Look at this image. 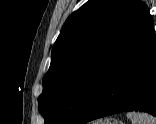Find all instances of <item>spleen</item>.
Returning a JSON list of instances; mask_svg holds the SVG:
<instances>
[{
    "instance_id": "obj_1",
    "label": "spleen",
    "mask_w": 156,
    "mask_h": 124,
    "mask_svg": "<svg viewBox=\"0 0 156 124\" xmlns=\"http://www.w3.org/2000/svg\"><path fill=\"white\" fill-rule=\"evenodd\" d=\"M127 117L131 119L132 124H156V118L147 113H127Z\"/></svg>"
}]
</instances>
